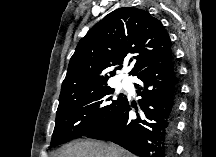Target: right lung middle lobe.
<instances>
[{"label":"right lung middle lobe","instance_id":"right-lung-middle-lobe-1","mask_svg":"<svg viewBox=\"0 0 216 157\" xmlns=\"http://www.w3.org/2000/svg\"><path fill=\"white\" fill-rule=\"evenodd\" d=\"M127 98L114 89H93L59 98L51 146L95 132L112 120Z\"/></svg>","mask_w":216,"mask_h":157}]
</instances>
